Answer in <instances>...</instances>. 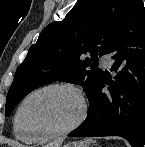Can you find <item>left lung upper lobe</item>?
Returning a JSON list of instances; mask_svg holds the SVG:
<instances>
[{
	"mask_svg": "<svg viewBox=\"0 0 145 147\" xmlns=\"http://www.w3.org/2000/svg\"><path fill=\"white\" fill-rule=\"evenodd\" d=\"M130 2L78 0L64 20L47 25L15 73L7 94L5 116L28 93L53 81L82 85L90 101L104 75L95 66L98 54L109 52ZM88 52L91 58L86 56Z\"/></svg>",
	"mask_w": 145,
	"mask_h": 147,
	"instance_id": "5c2ea615",
	"label": "left lung upper lobe"
}]
</instances>
